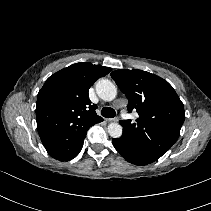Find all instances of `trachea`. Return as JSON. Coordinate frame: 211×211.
I'll return each mask as SVG.
<instances>
[{
    "instance_id": "trachea-1",
    "label": "trachea",
    "mask_w": 211,
    "mask_h": 211,
    "mask_svg": "<svg viewBox=\"0 0 211 211\" xmlns=\"http://www.w3.org/2000/svg\"><path fill=\"white\" fill-rule=\"evenodd\" d=\"M101 114L103 117H106V118H113L115 117L116 115V112L113 108L111 107H104L102 110H101Z\"/></svg>"
}]
</instances>
